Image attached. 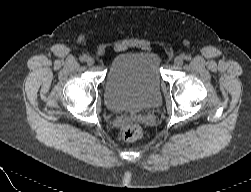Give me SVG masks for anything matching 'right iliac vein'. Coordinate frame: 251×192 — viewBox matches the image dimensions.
Listing matches in <instances>:
<instances>
[{
  "mask_svg": "<svg viewBox=\"0 0 251 192\" xmlns=\"http://www.w3.org/2000/svg\"><path fill=\"white\" fill-rule=\"evenodd\" d=\"M86 63H87L89 66H92V65H94V63H95V60H94V58H92V57H87Z\"/></svg>",
  "mask_w": 251,
  "mask_h": 192,
  "instance_id": "63e3f726",
  "label": "right iliac vein"
}]
</instances>
